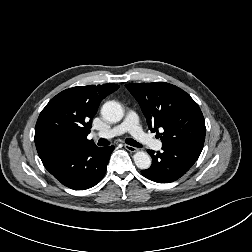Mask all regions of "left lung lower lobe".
<instances>
[{"label": "left lung lower lobe", "instance_id": "left-lung-lower-lobe-1", "mask_svg": "<svg viewBox=\"0 0 252 252\" xmlns=\"http://www.w3.org/2000/svg\"><path fill=\"white\" fill-rule=\"evenodd\" d=\"M163 152L148 150L152 157L149 169L141 171L146 178L158 183H170L183 176L199 158L201 151L189 147L163 146Z\"/></svg>", "mask_w": 252, "mask_h": 252}]
</instances>
